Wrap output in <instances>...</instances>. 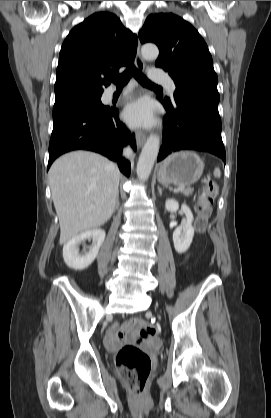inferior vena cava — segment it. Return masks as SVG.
Segmentation results:
<instances>
[{
	"label": "inferior vena cava",
	"mask_w": 271,
	"mask_h": 418,
	"mask_svg": "<svg viewBox=\"0 0 271 418\" xmlns=\"http://www.w3.org/2000/svg\"><path fill=\"white\" fill-rule=\"evenodd\" d=\"M123 155H124L125 157H127V158H130V157L132 156V151H131V149H130L129 147L125 148V149L123 150Z\"/></svg>",
	"instance_id": "1"
}]
</instances>
